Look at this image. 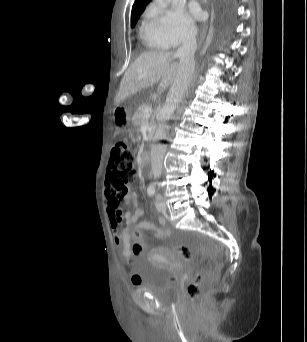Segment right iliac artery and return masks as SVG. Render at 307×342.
<instances>
[{"mask_svg":"<svg viewBox=\"0 0 307 342\" xmlns=\"http://www.w3.org/2000/svg\"><path fill=\"white\" fill-rule=\"evenodd\" d=\"M147 193L149 196H152L155 193V188L154 187L148 188Z\"/></svg>","mask_w":307,"mask_h":342,"instance_id":"right-iliac-artery-1","label":"right iliac artery"}]
</instances>
